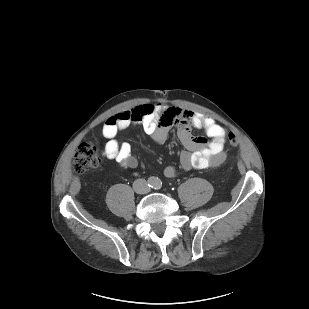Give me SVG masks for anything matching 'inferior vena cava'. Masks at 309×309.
Instances as JSON below:
<instances>
[{"mask_svg":"<svg viewBox=\"0 0 309 309\" xmlns=\"http://www.w3.org/2000/svg\"><path fill=\"white\" fill-rule=\"evenodd\" d=\"M133 189L138 194H146L150 191L148 183L145 179H137L133 183Z\"/></svg>","mask_w":309,"mask_h":309,"instance_id":"1","label":"inferior vena cava"}]
</instances>
